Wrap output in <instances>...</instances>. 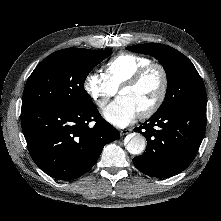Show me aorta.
I'll return each mask as SVG.
<instances>
[{
	"label": "aorta",
	"instance_id": "aorta-1",
	"mask_svg": "<svg viewBox=\"0 0 221 221\" xmlns=\"http://www.w3.org/2000/svg\"><path fill=\"white\" fill-rule=\"evenodd\" d=\"M146 148V139L143 135L134 134L126 145V149L130 154L140 155Z\"/></svg>",
	"mask_w": 221,
	"mask_h": 221
}]
</instances>
